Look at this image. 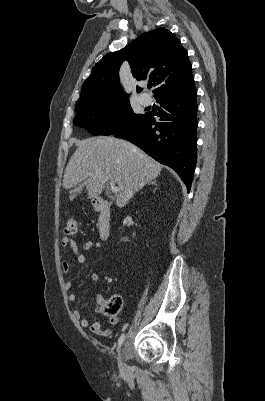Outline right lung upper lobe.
Returning <instances> with one entry per match:
<instances>
[{
    "label": "right lung upper lobe",
    "instance_id": "cb5924a9",
    "mask_svg": "<svg viewBox=\"0 0 265 401\" xmlns=\"http://www.w3.org/2000/svg\"><path fill=\"white\" fill-rule=\"evenodd\" d=\"M128 60L137 80L153 82L154 97L179 91L194 82L187 51L169 30L157 28L139 36L116 52L106 54L93 68L82 86L76 105L103 95L128 97L119 84V67ZM142 89L137 86V92Z\"/></svg>",
    "mask_w": 265,
    "mask_h": 401
}]
</instances>
